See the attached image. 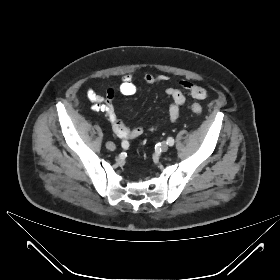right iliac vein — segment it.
Wrapping results in <instances>:
<instances>
[{
    "mask_svg": "<svg viewBox=\"0 0 280 280\" xmlns=\"http://www.w3.org/2000/svg\"><path fill=\"white\" fill-rule=\"evenodd\" d=\"M106 147H107V149L110 150V151H114V150L116 149L115 144L112 143V142H107V143H106Z\"/></svg>",
    "mask_w": 280,
    "mask_h": 280,
    "instance_id": "1",
    "label": "right iliac vein"
}]
</instances>
